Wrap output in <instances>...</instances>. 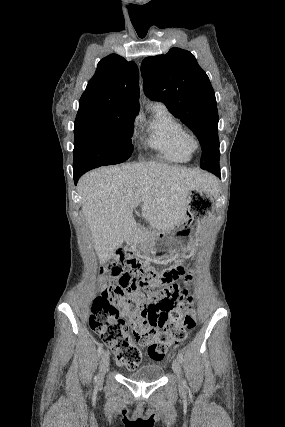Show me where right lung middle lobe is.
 Instances as JSON below:
<instances>
[{
	"label": "right lung middle lobe",
	"instance_id": "dd1d6c3e",
	"mask_svg": "<svg viewBox=\"0 0 285 427\" xmlns=\"http://www.w3.org/2000/svg\"><path fill=\"white\" fill-rule=\"evenodd\" d=\"M134 118L75 123L73 171L126 161L132 153Z\"/></svg>",
	"mask_w": 285,
	"mask_h": 427
}]
</instances>
